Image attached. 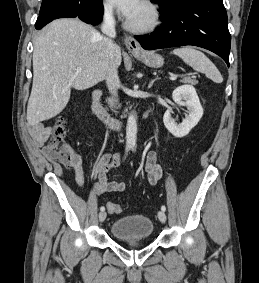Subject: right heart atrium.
Instances as JSON below:
<instances>
[{"instance_id": "d8ad5b80", "label": "right heart atrium", "mask_w": 259, "mask_h": 283, "mask_svg": "<svg viewBox=\"0 0 259 283\" xmlns=\"http://www.w3.org/2000/svg\"><path fill=\"white\" fill-rule=\"evenodd\" d=\"M100 10H101V13L104 16H111L112 15L113 8H112L111 4L109 3V0H102L101 1Z\"/></svg>"}]
</instances>
